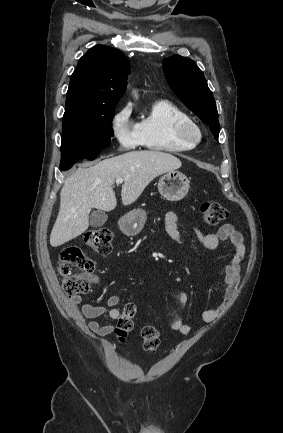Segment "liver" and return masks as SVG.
I'll return each instance as SVG.
<instances>
[{
  "label": "liver",
  "mask_w": 283,
  "mask_h": 433,
  "mask_svg": "<svg viewBox=\"0 0 283 433\" xmlns=\"http://www.w3.org/2000/svg\"><path fill=\"white\" fill-rule=\"evenodd\" d=\"M94 164V166H92ZM182 162L160 150H131L100 162H82L67 176L60 192V210L50 235L51 247H60L87 231L92 208L113 210L117 204L113 184H122L123 204L137 200L145 186L159 174L180 168Z\"/></svg>",
  "instance_id": "obj_1"
}]
</instances>
